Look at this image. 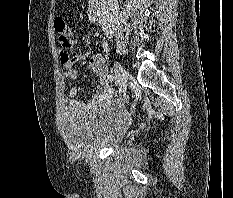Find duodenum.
Here are the masks:
<instances>
[{
	"label": "duodenum",
	"mask_w": 233,
	"mask_h": 198,
	"mask_svg": "<svg viewBox=\"0 0 233 198\" xmlns=\"http://www.w3.org/2000/svg\"><path fill=\"white\" fill-rule=\"evenodd\" d=\"M88 18L91 22H101V8L99 2L96 0L89 5Z\"/></svg>",
	"instance_id": "duodenum-1"
}]
</instances>
